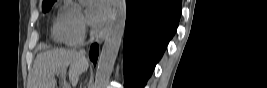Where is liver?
<instances>
[{"label": "liver", "instance_id": "6515ba94", "mask_svg": "<svg viewBox=\"0 0 267 88\" xmlns=\"http://www.w3.org/2000/svg\"><path fill=\"white\" fill-rule=\"evenodd\" d=\"M88 61L82 60L74 50L54 49L39 54L33 64L29 88H55V75L69 67V80L76 85L79 75L88 69Z\"/></svg>", "mask_w": 267, "mask_h": 88}]
</instances>
